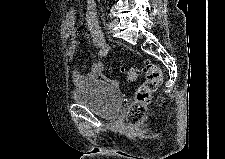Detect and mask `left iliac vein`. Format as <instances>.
I'll use <instances>...</instances> for the list:
<instances>
[{
  "instance_id": "1",
  "label": "left iliac vein",
  "mask_w": 225,
  "mask_h": 159,
  "mask_svg": "<svg viewBox=\"0 0 225 159\" xmlns=\"http://www.w3.org/2000/svg\"><path fill=\"white\" fill-rule=\"evenodd\" d=\"M117 23H118L117 20H112V21L110 22L109 26H107V28H108L109 30L112 31L113 28H114V26H115Z\"/></svg>"
}]
</instances>
